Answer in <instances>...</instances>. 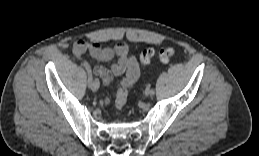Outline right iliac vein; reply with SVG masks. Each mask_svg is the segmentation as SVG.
Masks as SVG:
<instances>
[{
    "label": "right iliac vein",
    "mask_w": 259,
    "mask_h": 156,
    "mask_svg": "<svg viewBox=\"0 0 259 156\" xmlns=\"http://www.w3.org/2000/svg\"><path fill=\"white\" fill-rule=\"evenodd\" d=\"M89 87H90V89H91L92 91H97L98 88H99V85H98V83L96 82V80H94V81H92L91 86H89Z\"/></svg>",
    "instance_id": "63e3f726"
}]
</instances>
